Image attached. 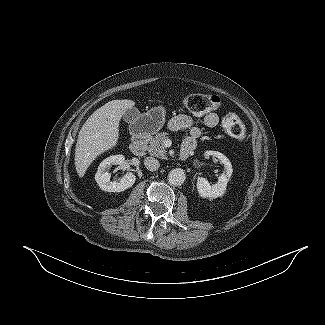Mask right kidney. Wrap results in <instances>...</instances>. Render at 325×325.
Returning <instances> with one entry per match:
<instances>
[{
	"instance_id": "obj_1",
	"label": "right kidney",
	"mask_w": 325,
	"mask_h": 325,
	"mask_svg": "<svg viewBox=\"0 0 325 325\" xmlns=\"http://www.w3.org/2000/svg\"><path fill=\"white\" fill-rule=\"evenodd\" d=\"M123 155H112L104 159L98 166L95 180L99 187L107 192H121L133 186L135 183V175L127 172L120 181H110L111 174L106 172V169L111 165H122L124 163Z\"/></svg>"
}]
</instances>
